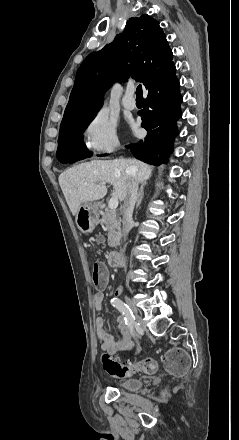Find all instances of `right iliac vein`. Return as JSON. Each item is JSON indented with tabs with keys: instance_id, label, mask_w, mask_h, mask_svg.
Masks as SVG:
<instances>
[{
	"instance_id": "right-iliac-vein-1",
	"label": "right iliac vein",
	"mask_w": 239,
	"mask_h": 440,
	"mask_svg": "<svg viewBox=\"0 0 239 440\" xmlns=\"http://www.w3.org/2000/svg\"><path fill=\"white\" fill-rule=\"evenodd\" d=\"M129 304L134 309L133 305L131 303H129ZM135 317H136V320H137L138 324L143 325V321H142L141 317L139 315H137V314H135Z\"/></svg>"
}]
</instances>
